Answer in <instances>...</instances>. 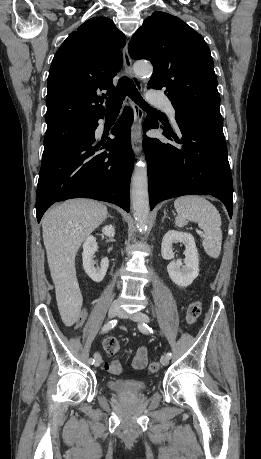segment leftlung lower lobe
<instances>
[{
    "label": "left lung lower lobe",
    "instance_id": "left-lung-lower-lobe-1",
    "mask_svg": "<svg viewBox=\"0 0 261 459\" xmlns=\"http://www.w3.org/2000/svg\"><path fill=\"white\" fill-rule=\"evenodd\" d=\"M181 138L166 127L163 135L175 142L164 144L145 137L150 210L163 200L189 194L212 195L232 217L233 183L222 121L176 120ZM145 129L162 127L148 116Z\"/></svg>",
    "mask_w": 261,
    "mask_h": 459
}]
</instances>
